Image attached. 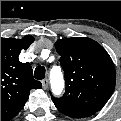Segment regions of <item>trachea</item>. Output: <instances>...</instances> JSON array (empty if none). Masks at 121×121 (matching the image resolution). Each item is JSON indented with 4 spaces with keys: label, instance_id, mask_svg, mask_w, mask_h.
<instances>
[{
    "label": "trachea",
    "instance_id": "trachea-1",
    "mask_svg": "<svg viewBox=\"0 0 121 121\" xmlns=\"http://www.w3.org/2000/svg\"><path fill=\"white\" fill-rule=\"evenodd\" d=\"M35 79L42 80L45 77V68L43 66H38L34 72Z\"/></svg>",
    "mask_w": 121,
    "mask_h": 121
}]
</instances>
